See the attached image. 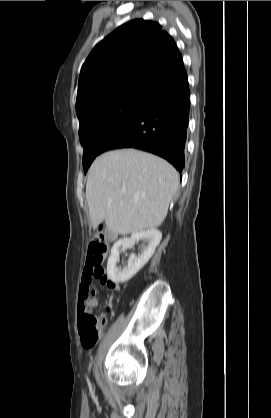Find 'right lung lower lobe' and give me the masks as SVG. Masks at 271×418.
I'll list each match as a JSON object with an SVG mask.
<instances>
[{
  "label": "right lung lower lobe",
  "instance_id": "right-lung-lower-lobe-1",
  "mask_svg": "<svg viewBox=\"0 0 271 418\" xmlns=\"http://www.w3.org/2000/svg\"><path fill=\"white\" fill-rule=\"evenodd\" d=\"M190 110L187 73L153 97L104 142L100 154L136 148L159 155L178 171L185 166V142Z\"/></svg>",
  "mask_w": 271,
  "mask_h": 418
}]
</instances>
